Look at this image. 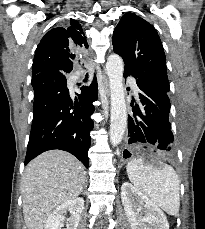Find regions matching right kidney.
<instances>
[{"mask_svg": "<svg viewBox=\"0 0 205 229\" xmlns=\"http://www.w3.org/2000/svg\"><path fill=\"white\" fill-rule=\"evenodd\" d=\"M83 208V198H75L62 203L48 217L45 229H61L65 221L66 229H77ZM68 211L70 212V217L66 219Z\"/></svg>", "mask_w": 205, "mask_h": 229, "instance_id": "1", "label": "right kidney"}]
</instances>
